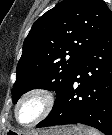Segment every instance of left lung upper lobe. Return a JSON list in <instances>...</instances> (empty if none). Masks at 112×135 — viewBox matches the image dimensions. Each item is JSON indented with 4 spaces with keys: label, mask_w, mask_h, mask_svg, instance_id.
Instances as JSON below:
<instances>
[{
    "label": "left lung upper lobe",
    "mask_w": 112,
    "mask_h": 135,
    "mask_svg": "<svg viewBox=\"0 0 112 135\" xmlns=\"http://www.w3.org/2000/svg\"><path fill=\"white\" fill-rule=\"evenodd\" d=\"M111 24L112 12L103 0H63L37 19L23 43L13 103L35 88L58 96Z\"/></svg>",
    "instance_id": "left-lung-upper-lobe-1"
}]
</instances>
